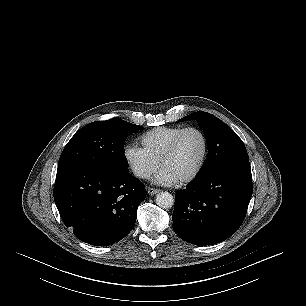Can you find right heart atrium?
<instances>
[{
	"mask_svg": "<svg viewBox=\"0 0 306 306\" xmlns=\"http://www.w3.org/2000/svg\"><path fill=\"white\" fill-rule=\"evenodd\" d=\"M123 155L130 171L138 179H148L159 167V162L137 144H127Z\"/></svg>",
	"mask_w": 306,
	"mask_h": 306,
	"instance_id": "obj_1",
	"label": "right heart atrium"
}]
</instances>
